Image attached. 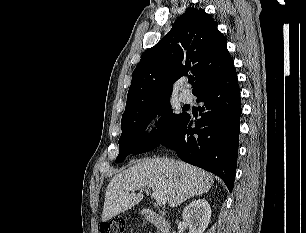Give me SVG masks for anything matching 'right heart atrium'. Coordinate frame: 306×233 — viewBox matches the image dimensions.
<instances>
[{
  "label": "right heart atrium",
  "instance_id": "1",
  "mask_svg": "<svg viewBox=\"0 0 306 233\" xmlns=\"http://www.w3.org/2000/svg\"><path fill=\"white\" fill-rule=\"evenodd\" d=\"M158 130H159V124H154L151 128V134L157 133Z\"/></svg>",
  "mask_w": 306,
  "mask_h": 233
}]
</instances>
